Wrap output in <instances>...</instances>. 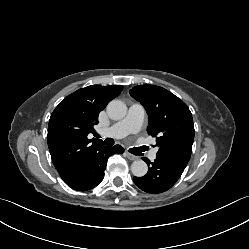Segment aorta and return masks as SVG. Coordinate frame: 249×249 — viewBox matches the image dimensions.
<instances>
[{
    "mask_svg": "<svg viewBox=\"0 0 249 249\" xmlns=\"http://www.w3.org/2000/svg\"><path fill=\"white\" fill-rule=\"evenodd\" d=\"M107 113L112 119H122L127 113V106L121 100H112L107 105ZM147 171L148 166L143 160H135L131 165V172L136 177L145 176Z\"/></svg>",
    "mask_w": 249,
    "mask_h": 249,
    "instance_id": "1",
    "label": "aorta"
}]
</instances>
